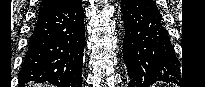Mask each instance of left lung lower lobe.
Masks as SVG:
<instances>
[{
	"mask_svg": "<svg viewBox=\"0 0 205 87\" xmlns=\"http://www.w3.org/2000/svg\"><path fill=\"white\" fill-rule=\"evenodd\" d=\"M125 36L123 58L129 86L146 87L156 81H175L179 61L153 0H121Z\"/></svg>",
	"mask_w": 205,
	"mask_h": 87,
	"instance_id": "0a47b994",
	"label": "left lung lower lobe"
}]
</instances>
